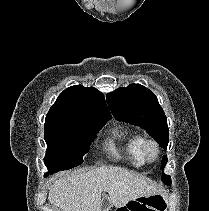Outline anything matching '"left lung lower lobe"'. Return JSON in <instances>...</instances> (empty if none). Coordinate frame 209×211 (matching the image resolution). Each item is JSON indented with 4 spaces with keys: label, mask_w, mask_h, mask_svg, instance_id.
<instances>
[{
    "label": "left lung lower lobe",
    "mask_w": 209,
    "mask_h": 211,
    "mask_svg": "<svg viewBox=\"0 0 209 211\" xmlns=\"http://www.w3.org/2000/svg\"><path fill=\"white\" fill-rule=\"evenodd\" d=\"M163 182L166 183L167 185H171V179L166 180V181L164 180Z\"/></svg>",
    "instance_id": "0a47b994"
}]
</instances>
